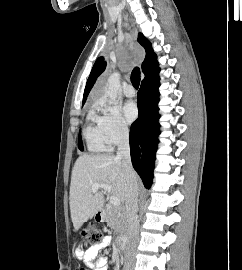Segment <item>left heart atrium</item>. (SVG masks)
<instances>
[{"label": "left heart atrium", "instance_id": "39dd6f15", "mask_svg": "<svg viewBox=\"0 0 242 270\" xmlns=\"http://www.w3.org/2000/svg\"><path fill=\"white\" fill-rule=\"evenodd\" d=\"M123 113L128 122H133L138 116L137 105L133 101L127 102L123 106Z\"/></svg>", "mask_w": 242, "mask_h": 270}]
</instances>
